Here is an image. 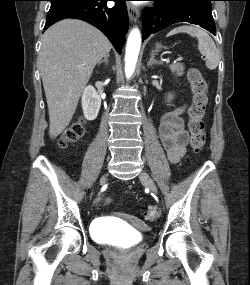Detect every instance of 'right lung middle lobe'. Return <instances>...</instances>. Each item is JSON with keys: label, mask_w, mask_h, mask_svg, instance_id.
I'll return each instance as SVG.
<instances>
[{"label": "right lung middle lobe", "mask_w": 250, "mask_h": 285, "mask_svg": "<svg viewBox=\"0 0 250 285\" xmlns=\"http://www.w3.org/2000/svg\"><path fill=\"white\" fill-rule=\"evenodd\" d=\"M50 1H51V7H56L67 3L83 1V0H50Z\"/></svg>", "instance_id": "dd1d6c3e"}]
</instances>
